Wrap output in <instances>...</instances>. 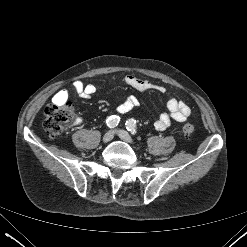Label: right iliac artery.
Listing matches in <instances>:
<instances>
[{"label":"right iliac artery","mask_w":247,"mask_h":247,"mask_svg":"<svg viewBox=\"0 0 247 247\" xmlns=\"http://www.w3.org/2000/svg\"><path fill=\"white\" fill-rule=\"evenodd\" d=\"M119 120L120 118L118 116H110L107 120H106V124L109 128H115L116 126H118L119 124Z\"/></svg>","instance_id":"right-iliac-artery-1"}]
</instances>
